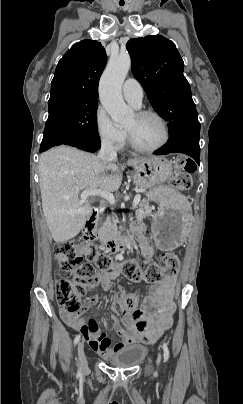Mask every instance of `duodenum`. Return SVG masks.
<instances>
[{
  "instance_id": "obj_1",
  "label": "duodenum",
  "mask_w": 243,
  "mask_h": 404,
  "mask_svg": "<svg viewBox=\"0 0 243 404\" xmlns=\"http://www.w3.org/2000/svg\"><path fill=\"white\" fill-rule=\"evenodd\" d=\"M83 238L85 240H93L96 237V217L95 212L88 218L83 228ZM135 241V233L127 236H121L109 241L103 242L102 246L106 252L116 254L123 249L129 248Z\"/></svg>"
}]
</instances>
